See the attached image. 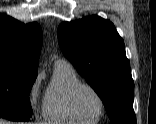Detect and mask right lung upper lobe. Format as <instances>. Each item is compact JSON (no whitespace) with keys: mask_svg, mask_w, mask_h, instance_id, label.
<instances>
[{"mask_svg":"<svg viewBox=\"0 0 156 124\" xmlns=\"http://www.w3.org/2000/svg\"><path fill=\"white\" fill-rule=\"evenodd\" d=\"M41 47L38 23L24 24L0 13V66L37 72Z\"/></svg>","mask_w":156,"mask_h":124,"instance_id":"1","label":"right lung upper lobe"}]
</instances>
